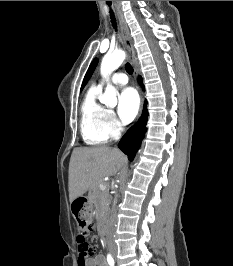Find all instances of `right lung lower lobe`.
<instances>
[{"label":"right lung lower lobe","instance_id":"obj_1","mask_svg":"<svg viewBox=\"0 0 233 266\" xmlns=\"http://www.w3.org/2000/svg\"><path fill=\"white\" fill-rule=\"evenodd\" d=\"M139 81L140 83H142L141 78H139ZM146 105L147 101H145L144 103L142 116L140 117L138 122L128 130V132L124 135V137L118 144V147L125 154L128 155L129 160H133L135 152L139 148L146 131V123L148 117V111Z\"/></svg>","mask_w":233,"mask_h":266}]
</instances>
